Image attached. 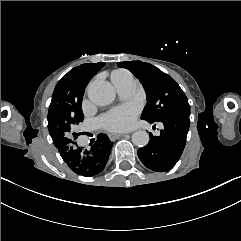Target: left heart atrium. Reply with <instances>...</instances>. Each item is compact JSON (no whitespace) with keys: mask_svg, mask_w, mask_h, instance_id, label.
<instances>
[{"mask_svg":"<svg viewBox=\"0 0 241 241\" xmlns=\"http://www.w3.org/2000/svg\"><path fill=\"white\" fill-rule=\"evenodd\" d=\"M135 114L136 110L133 108H121L114 117L105 114L99 118V122L104 129L110 132H124L133 128Z\"/></svg>","mask_w":241,"mask_h":241,"instance_id":"left-heart-atrium-1","label":"left heart atrium"}]
</instances>
